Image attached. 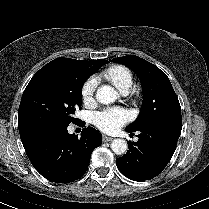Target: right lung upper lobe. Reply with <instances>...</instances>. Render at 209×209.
Returning a JSON list of instances; mask_svg holds the SVG:
<instances>
[{
    "mask_svg": "<svg viewBox=\"0 0 209 209\" xmlns=\"http://www.w3.org/2000/svg\"><path fill=\"white\" fill-rule=\"evenodd\" d=\"M87 65L92 68L95 72L102 67L104 64L109 63L107 60L104 59H98V60H92V61H85ZM22 140V139H21ZM28 139H23L22 142H26Z\"/></svg>",
    "mask_w": 209,
    "mask_h": 209,
    "instance_id": "obj_1",
    "label": "right lung upper lobe"
}]
</instances>
